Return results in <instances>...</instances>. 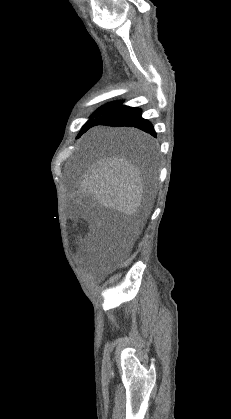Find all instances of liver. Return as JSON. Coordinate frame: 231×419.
<instances>
[{
  "mask_svg": "<svg viewBox=\"0 0 231 419\" xmlns=\"http://www.w3.org/2000/svg\"><path fill=\"white\" fill-rule=\"evenodd\" d=\"M112 133L125 140L150 142L149 136L133 128L116 129ZM144 188L139 168L123 155L93 163L80 183V189L99 204L127 215L136 214L141 207Z\"/></svg>",
  "mask_w": 231,
  "mask_h": 419,
  "instance_id": "obj_1",
  "label": "liver"
}]
</instances>
